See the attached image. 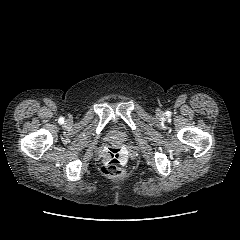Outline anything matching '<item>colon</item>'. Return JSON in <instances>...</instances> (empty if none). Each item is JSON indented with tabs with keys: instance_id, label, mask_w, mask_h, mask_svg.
Masks as SVG:
<instances>
[{
	"instance_id": "5ec220e1",
	"label": "colon",
	"mask_w": 240,
	"mask_h": 240,
	"mask_svg": "<svg viewBox=\"0 0 240 240\" xmlns=\"http://www.w3.org/2000/svg\"><path fill=\"white\" fill-rule=\"evenodd\" d=\"M125 170V163L123 158L119 155L117 150H112L110 156L106 159L102 166L104 175L110 178L120 177Z\"/></svg>"
}]
</instances>
